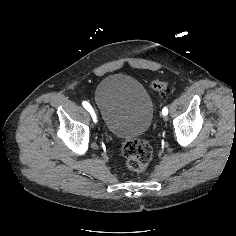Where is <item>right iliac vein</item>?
<instances>
[{
    "label": "right iliac vein",
    "mask_w": 236,
    "mask_h": 236,
    "mask_svg": "<svg viewBox=\"0 0 236 236\" xmlns=\"http://www.w3.org/2000/svg\"><path fill=\"white\" fill-rule=\"evenodd\" d=\"M96 110V109H95ZM97 111V110H96ZM97 114H98V112H97ZM98 118L100 119L101 117H100V115L98 114Z\"/></svg>",
    "instance_id": "obj_1"
}]
</instances>
